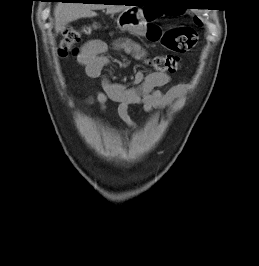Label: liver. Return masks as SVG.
Segmentation results:
<instances>
[{
  "label": "liver",
  "mask_w": 259,
  "mask_h": 266,
  "mask_svg": "<svg viewBox=\"0 0 259 266\" xmlns=\"http://www.w3.org/2000/svg\"><path fill=\"white\" fill-rule=\"evenodd\" d=\"M103 8V4L59 3L54 8L55 32L59 33L65 26L75 20L96 16L94 10ZM126 10L123 6H108V13Z\"/></svg>",
  "instance_id": "1"
}]
</instances>
